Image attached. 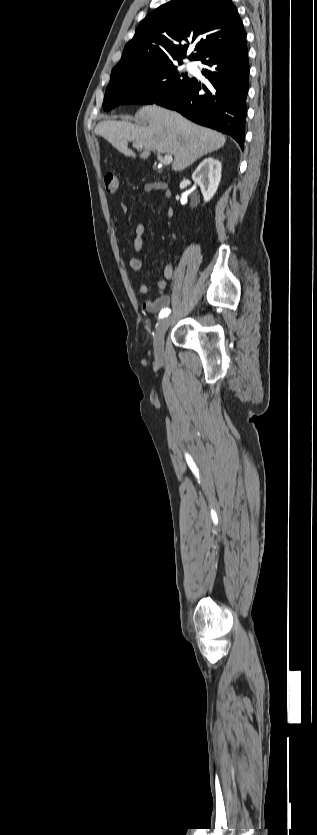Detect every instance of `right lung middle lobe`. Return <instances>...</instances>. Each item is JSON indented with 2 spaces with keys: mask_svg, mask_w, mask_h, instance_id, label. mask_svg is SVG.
<instances>
[{
  "mask_svg": "<svg viewBox=\"0 0 317 835\" xmlns=\"http://www.w3.org/2000/svg\"><path fill=\"white\" fill-rule=\"evenodd\" d=\"M190 80L173 63L142 71H112L103 107L108 111L120 104H152Z\"/></svg>",
  "mask_w": 317,
  "mask_h": 835,
  "instance_id": "dd1d6c3e",
  "label": "right lung middle lobe"
}]
</instances>
